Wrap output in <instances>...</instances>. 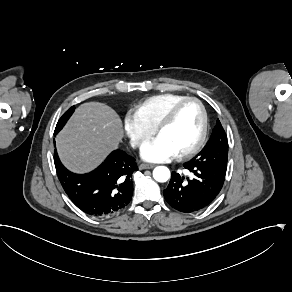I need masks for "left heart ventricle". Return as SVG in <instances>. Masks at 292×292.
I'll return each mask as SVG.
<instances>
[{
    "label": "left heart ventricle",
    "instance_id": "1",
    "mask_svg": "<svg viewBox=\"0 0 292 292\" xmlns=\"http://www.w3.org/2000/svg\"><path fill=\"white\" fill-rule=\"evenodd\" d=\"M200 125L201 114L198 105L187 102L178 109L174 119L159 132V135L170 141L181 152L195 143Z\"/></svg>",
    "mask_w": 292,
    "mask_h": 292
}]
</instances>
